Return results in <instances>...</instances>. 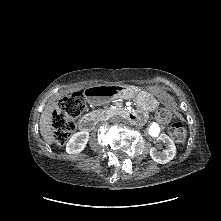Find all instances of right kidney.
<instances>
[{
	"label": "right kidney",
	"mask_w": 221,
	"mask_h": 221,
	"mask_svg": "<svg viewBox=\"0 0 221 221\" xmlns=\"http://www.w3.org/2000/svg\"><path fill=\"white\" fill-rule=\"evenodd\" d=\"M89 140V133L81 131L75 133L66 145V152L69 154H77L84 150Z\"/></svg>",
	"instance_id": "1"
}]
</instances>
